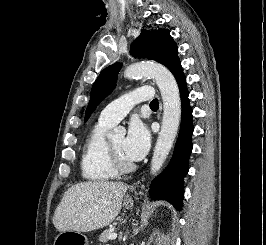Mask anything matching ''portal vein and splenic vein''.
<instances>
[{"label":"portal vein and splenic vein","instance_id":"18ae733b","mask_svg":"<svg viewBox=\"0 0 266 245\" xmlns=\"http://www.w3.org/2000/svg\"><path fill=\"white\" fill-rule=\"evenodd\" d=\"M108 239H110V241H113V239H117L116 233H112V235H109Z\"/></svg>","mask_w":266,"mask_h":245}]
</instances>
